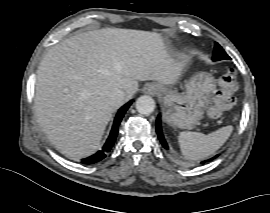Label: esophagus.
<instances>
[{
  "label": "esophagus",
  "instance_id": "esophagus-1",
  "mask_svg": "<svg viewBox=\"0 0 270 213\" xmlns=\"http://www.w3.org/2000/svg\"><path fill=\"white\" fill-rule=\"evenodd\" d=\"M159 88L157 85L148 83L143 88V93L149 94V95H155L158 92Z\"/></svg>",
  "mask_w": 270,
  "mask_h": 213
}]
</instances>
